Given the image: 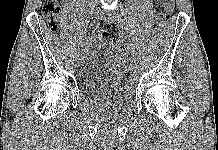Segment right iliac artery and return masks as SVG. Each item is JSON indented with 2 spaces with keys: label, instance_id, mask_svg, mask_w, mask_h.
<instances>
[{
  "label": "right iliac artery",
  "instance_id": "obj_1",
  "mask_svg": "<svg viewBox=\"0 0 218 150\" xmlns=\"http://www.w3.org/2000/svg\"><path fill=\"white\" fill-rule=\"evenodd\" d=\"M96 26H98V21L97 20H93L92 22H91V26H89L88 27V30L89 31H92L93 30V27H96ZM91 39V36L90 35H87L86 37H85V39H83V40H85V42H88V40H90ZM85 42L84 41H81L80 42V45H82V44H85ZM86 45V44H85ZM87 47V46H86Z\"/></svg>",
  "mask_w": 218,
  "mask_h": 150
}]
</instances>
